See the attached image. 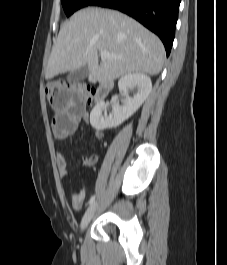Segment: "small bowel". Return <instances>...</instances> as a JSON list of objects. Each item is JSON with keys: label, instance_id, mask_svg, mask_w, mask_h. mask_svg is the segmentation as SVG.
I'll list each match as a JSON object with an SVG mask.
<instances>
[{"label": "small bowel", "instance_id": "c3829d8e", "mask_svg": "<svg viewBox=\"0 0 227 265\" xmlns=\"http://www.w3.org/2000/svg\"><path fill=\"white\" fill-rule=\"evenodd\" d=\"M53 95L51 96V107L54 111L52 130L57 139H66L76 132L81 121H89V114L86 110L87 99H85L84 91H79V87H56ZM94 135L97 139H102L104 132L96 129ZM97 160L96 154L84 156L82 159L85 166H93ZM56 162L60 178L65 179L68 175L66 157L60 153L57 155ZM84 202V190L80 189L72 194L74 210H81Z\"/></svg>", "mask_w": 227, "mask_h": 265}]
</instances>
